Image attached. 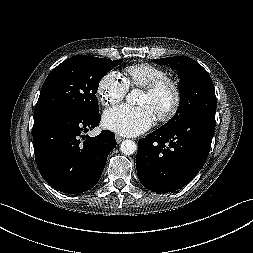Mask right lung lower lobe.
I'll return each instance as SVG.
<instances>
[{
	"instance_id": "98d812e1",
	"label": "right lung lower lobe",
	"mask_w": 253,
	"mask_h": 253,
	"mask_svg": "<svg viewBox=\"0 0 253 253\" xmlns=\"http://www.w3.org/2000/svg\"><path fill=\"white\" fill-rule=\"evenodd\" d=\"M100 114L81 117L64 111L35 114L33 142L36 164L44 180L68 194L91 189L100 179L107 156L115 148V135L103 130L84 135L98 126Z\"/></svg>"
}]
</instances>
